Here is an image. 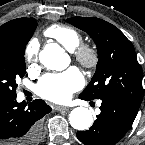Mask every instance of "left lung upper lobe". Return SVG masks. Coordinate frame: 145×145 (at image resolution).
<instances>
[{
  "mask_svg": "<svg viewBox=\"0 0 145 145\" xmlns=\"http://www.w3.org/2000/svg\"><path fill=\"white\" fill-rule=\"evenodd\" d=\"M66 21L86 31L98 50L96 72L80 96L89 100L122 99L140 105L142 69L126 36L99 18L72 17Z\"/></svg>",
  "mask_w": 145,
  "mask_h": 145,
  "instance_id": "5c2ea615",
  "label": "left lung upper lobe"
}]
</instances>
